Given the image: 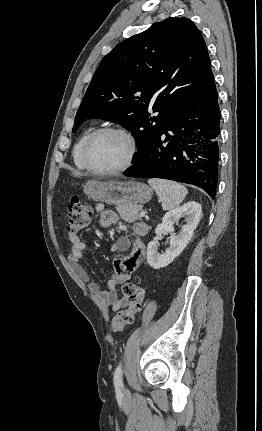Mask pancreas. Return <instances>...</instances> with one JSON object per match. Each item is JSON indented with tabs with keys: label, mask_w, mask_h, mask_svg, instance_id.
Segmentation results:
<instances>
[{
	"label": "pancreas",
	"mask_w": 262,
	"mask_h": 431,
	"mask_svg": "<svg viewBox=\"0 0 262 431\" xmlns=\"http://www.w3.org/2000/svg\"><path fill=\"white\" fill-rule=\"evenodd\" d=\"M116 209L121 218L127 222H134L141 218L139 216V212L142 211L141 206L119 205Z\"/></svg>",
	"instance_id": "1"
}]
</instances>
